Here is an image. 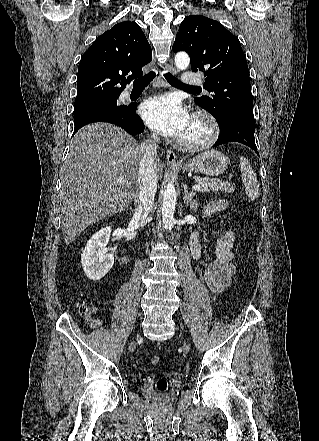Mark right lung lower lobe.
I'll return each instance as SVG.
<instances>
[{"label": "right lung lower lobe", "instance_id": "obj_1", "mask_svg": "<svg viewBox=\"0 0 319 441\" xmlns=\"http://www.w3.org/2000/svg\"><path fill=\"white\" fill-rule=\"evenodd\" d=\"M136 107L137 104L133 103L124 107H92L74 113L75 128L73 135L84 125L94 122L112 123L123 128L131 135L140 134L144 130V125L136 114Z\"/></svg>", "mask_w": 319, "mask_h": 441}]
</instances>
